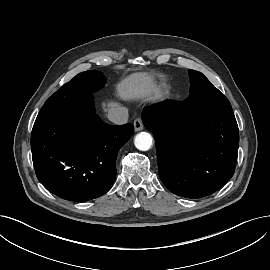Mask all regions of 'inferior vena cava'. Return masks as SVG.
Returning <instances> with one entry per match:
<instances>
[{
	"label": "inferior vena cava",
	"mask_w": 270,
	"mask_h": 270,
	"mask_svg": "<svg viewBox=\"0 0 270 270\" xmlns=\"http://www.w3.org/2000/svg\"><path fill=\"white\" fill-rule=\"evenodd\" d=\"M108 119L117 124L122 125L127 123L128 121V110L125 107L117 106L109 109L108 111Z\"/></svg>",
	"instance_id": "602c4592"
}]
</instances>
